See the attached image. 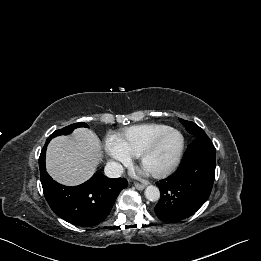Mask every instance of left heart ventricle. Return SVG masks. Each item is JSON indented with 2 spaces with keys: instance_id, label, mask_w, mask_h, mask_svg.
I'll return each mask as SVG.
<instances>
[{
  "instance_id": "obj_1",
  "label": "left heart ventricle",
  "mask_w": 261,
  "mask_h": 261,
  "mask_svg": "<svg viewBox=\"0 0 261 261\" xmlns=\"http://www.w3.org/2000/svg\"><path fill=\"white\" fill-rule=\"evenodd\" d=\"M179 138L175 134L166 135L156 149L146 159L143 168L148 171H157L164 168L173 158L178 147Z\"/></svg>"
}]
</instances>
